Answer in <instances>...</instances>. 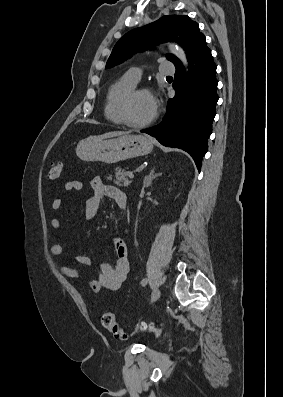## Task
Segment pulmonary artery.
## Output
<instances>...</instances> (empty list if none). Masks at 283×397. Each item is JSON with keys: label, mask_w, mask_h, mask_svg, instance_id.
<instances>
[{"label": "pulmonary artery", "mask_w": 283, "mask_h": 397, "mask_svg": "<svg viewBox=\"0 0 283 397\" xmlns=\"http://www.w3.org/2000/svg\"><path fill=\"white\" fill-rule=\"evenodd\" d=\"M160 72L163 74H173L175 72V68L170 62H163L160 66ZM141 74L142 72L140 68L132 67L127 71L126 76L137 84L140 81Z\"/></svg>", "instance_id": "pulmonary-artery-1"}]
</instances>
